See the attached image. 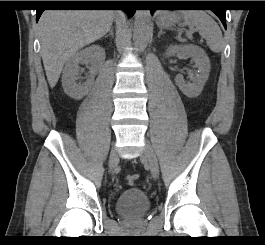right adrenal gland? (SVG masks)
Wrapping results in <instances>:
<instances>
[{
	"mask_svg": "<svg viewBox=\"0 0 265 245\" xmlns=\"http://www.w3.org/2000/svg\"><path fill=\"white\" fill-rule=\"evenodd\" d=\"M108 36H111L112 38L114 37V33H113V28L112 27L109 29L108 34H106L104 36V38H107Z\"/></svg>",
	"mask_w": 265,
	"mask_h": 245,
	"instance_id": "1",
	"label": "right adrenal gland"
}]
</instances>
